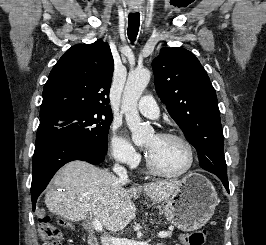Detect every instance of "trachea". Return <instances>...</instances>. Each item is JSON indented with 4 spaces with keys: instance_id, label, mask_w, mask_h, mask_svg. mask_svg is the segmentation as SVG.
<instances>
[{
    "instance_id": "trachea-1",
    "label": "trachea",
    "mask_w": 266,
    "mask_h": 245,
    "mask_svg": "<svg viewBox=\"0 0 266 245\" xmlns=\"http://www.w3.org/2000/svg\"><path fill=\"white\" fill-rule=\"evenodd\" d=\"M140 15L138 13H130L128 16V38L131 42L136 40L139 31Z\"/></svg>"
}]
</instances>
